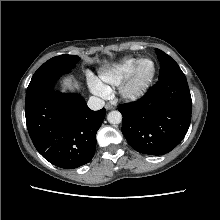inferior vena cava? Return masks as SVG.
Here are the masks:
<instances>
[{
	"label": "inferior vena cava",
	"instance_id": "inferior-vena-cava-1",
	"mask_svg": "<svg viewBox=\"0 0 220 220\" xmlns=\"http://www.w3.org/2000/svg\"><path fill=\"white\" fill-rule=\"evenodd\" d=\"M88 107L91 109V110H100L101 108H103L105 102L98 98V97H95V96H91L88 100Z\"/></svg>",
	"mask_w": 220,
	"mask_h": 220
}]
</instances>
